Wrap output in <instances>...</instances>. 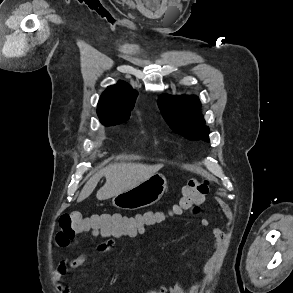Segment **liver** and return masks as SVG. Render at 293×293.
<instances>
[{"mask_svg":"<svg viewBox=\"0 0 293 293\" xmlns=\"http://www.w3.org/2000/svg\"><path fill=\"white\" fill-rule=\"evenodd\" d=\"M162 167L158 165L145 164H112L96 172L84 185L77 199L78 202L85 200L91 195L99 180L105 176L106 183L101 187L96 194L98 200H107L129 190L143 181L147 180Z\"/></svg>","mask_w":293,"mask_h":293,"instance_id":"liver-1","label":"liver"}]
</instances>
